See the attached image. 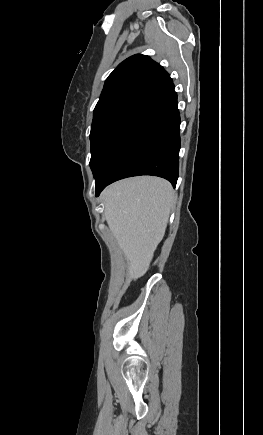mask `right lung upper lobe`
<instances>
[{"instance_id":"cb5924a9","label":"right lung upper lobe","mask_w":263,"mask_h":435,"mask_svg":"<svg viewBox=\"0 0 263 435\" xmlns=\"http://www.w3.org/2000/svg\"><path fill=\"white\" fill-rule=\"evenodd\" d=\"M172 83L169 74L150 57L133 55L109 75L95 109L121 102L145 104Z\"/></svg>"}]
</instances>
